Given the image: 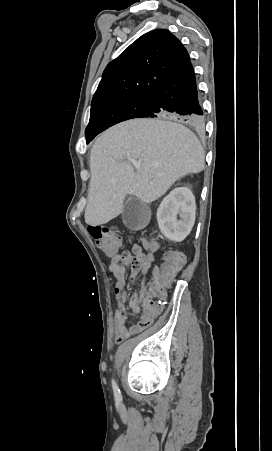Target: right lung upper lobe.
<instances>
[{"instance_id":"1","label":"right lung upper lobe","mask_w":272,"mask_h":451,"mask_svg":"<svg viewBox=\"0 0 272 451\" xmlns=\"http://www.w3.org/2000/svg\"><path fill=\"white\" fill-rule=\"evenodd\" d=\"M189 61L187 50L168 30L146 33L107 65L91 106L120 97L150 96Z\"/></svg>"}]
</instances>
